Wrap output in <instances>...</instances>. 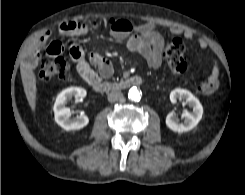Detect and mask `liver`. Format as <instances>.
<instances>
[{
  "mask_svg": "<svg viewBox=\"0 0 245 195\" xmlns=\"http://www.w3.org/2000/svg\"><path fill=\"white\" fill-rule=\"evenodd\" d=\"M20 72L27 101L31 110L35 111L37 93L35 73L33 72L32 66L24 62L20 65Z\"/></svg>",
  "mask_w": 245,
  "mask_h": 195,
  "instance_id": "obj_1",
  "label": "liver"
}]
</instances>
